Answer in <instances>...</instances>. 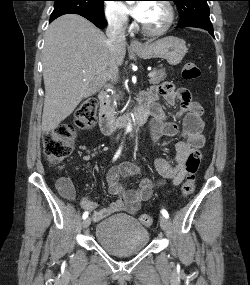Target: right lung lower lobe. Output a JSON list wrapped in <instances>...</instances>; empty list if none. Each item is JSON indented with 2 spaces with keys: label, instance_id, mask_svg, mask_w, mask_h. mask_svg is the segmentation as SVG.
I'll return each instance as SVG.
<instances>
[{
  "label": "right lung lower lobe",
  "instance_id": "right-lung-lower-lobe-1",
  "mask_svg": "<svg viewBox=\"0 0 250 285\" xmlns=\"http://www.w3.org/2000/svg\"><path fill=\"white\" fill-rule=\"evenodd\" d=\"M91 21L93 24H95L98 28H104L107 25V22L104 20V18L89 16V15H81ZM54 19H50V22H52Z\"/></svg>",
  "mask_w": 250,
  "mask_h": 285
}]
</instances>
